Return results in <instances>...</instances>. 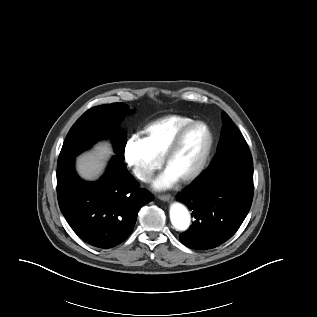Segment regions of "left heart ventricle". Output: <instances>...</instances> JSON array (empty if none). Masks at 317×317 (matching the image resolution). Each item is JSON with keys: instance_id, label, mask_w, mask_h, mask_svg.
I'll return each instance as SVG.
<instances>
[{"instance_id": "obj_1", "label": "left heart ventricle", "mask_w": 317, "mask_h": 317, "mask_svg": "<svg viewBox=\"0 0 317 317\" xmlns=\"http://www.w3.org/2000/svg\"><path fill=\"white\" fill-rule=\"evenodd\" d=\"M208 141L207 132L204 127L196 126L192 128L171 159L168 169L173 172L178 179L189 174L199 163Z\"/></svg>"}]
</instances>
